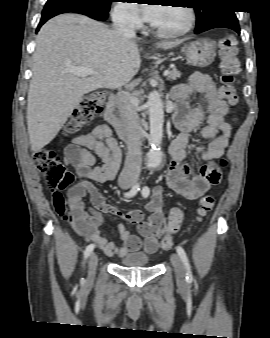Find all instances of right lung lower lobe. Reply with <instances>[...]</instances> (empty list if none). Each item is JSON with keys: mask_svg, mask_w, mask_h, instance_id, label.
I'll return each mask as SVG.
<instances>
[{"mask_svg": "<svg viewBox=\"0 0 270 338\" xmlns=\"http://www.w3.org/2000/svg\"><path fill=\"white\" fill-rule=\"evenodd\" d=\"M68 12L84 14L96 20H105L108 16L107 11H101V10H96L93 8L82 7V6H61L60 5V6L44 7L43 12H42V18L37 27V31L48 19L56 15H59L62 13H68Z\"/></svg>", "mask_w": 270, "mask_h": 338, "instance_id": "obj_1", "label": "right lung lower lobe"}]
</instances>
